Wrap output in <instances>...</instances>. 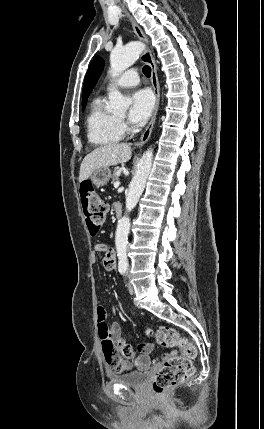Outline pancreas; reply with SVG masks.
I'll list each match as a JSON object with an SVG mask.
<instances>
[{
  "instance_id": "pancreas-1",
  "label": "pancreas",
  "mask_w": 264,
  "mask_h": 429,
  "mask_svg": "<svg viewBox=\"0 0 264 429\" xmlns=\"http://www.w3.org/2000/svg\"><path fill=\"white\" fill-rule=\"evenodd\" d=\"M112 182H116L118 180V171L114 170L112 176H111Z\"/></svg>"
}]
</instances>
